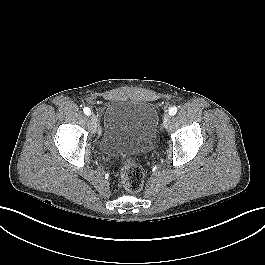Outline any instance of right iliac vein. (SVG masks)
<instances>
[{
    "label": "right iliac vein",
    "instance_id": "obj_1",
    "mask_svg": "<svg viewBox=\"0 0 265 265\" xmlns=\"http://www.w3.org/2000/svg\"><path fill=\"white\" fill-rule=\"evenodd\" d=\"M91 121H92V129H93V132L95 133L99 125L96 115L94 114L91 115Z\"/></svg>",
    "mask_w": 265,
    "mask_h": 265
}]
</instances>
